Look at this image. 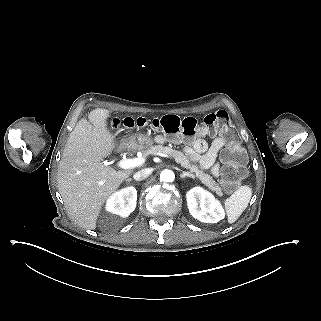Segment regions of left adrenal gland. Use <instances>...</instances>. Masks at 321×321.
I'll list each match as a JSON object with an SVG mask.
<instances>
[{"mask_svg": "<svg viewBox=\"0 0 321 321\" xmlns=\"http://www.w3.org/2000/svg\"><path fill=\"white\" fill-rule=\"evenodd\" d=\"M186 177H189V178H192V179L195 178L194 175L190 174L189 172L183 171V172L180 174V178L184 179V178H186Z\"/></svg>", "mask_w": 321, "mask_h": 321, "instance_id": "obj_1", "label": "left adrenal gland"}]
</instances>
